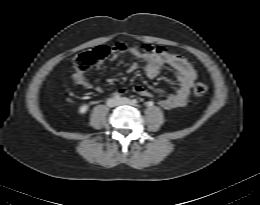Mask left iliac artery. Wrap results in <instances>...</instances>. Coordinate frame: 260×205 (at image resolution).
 Returning <instances> with one entry per match:
<instances>
[{
    "mask_svg": "<svg viewBox=\"0 0 260 205\" xmlns=\"http://www.w3.org/2000/svg\"><path fill=\"white\" fill-rule=\"evenodd\" d=\"M132 104L136 105L138 103L137 99H132Z\"/></svg>",
    "mask_w": 260,
    "mask_h": 205,
    "instance_id": "44dca946",
    "label": "left iliac artery"
}]
</instances>
